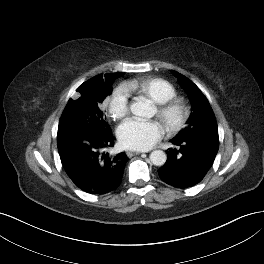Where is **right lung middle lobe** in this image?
I'll list each match as a JSON object with an SVG mask.
<instances>
[{
	"label": "right lung middle lobe",
	"instance_id": "obj_1",
	"mask_svg": "<svg viewBox=\"0 0 264 264\" xmlns=\"http://www.w3.org/2000/svg\"><path fill=\"white\" fill-rule=\"evenodd\" d=\"M122 75L116 73L108 79L98 77L83 83L77 89L78 99H70L61 116L57 138L67 137L70 133L89 127L99 128L103 132L111 131L101 105L104 98L111 94L113 81Z\"/></svg>",
	"mask_w": 264,
	"mask_h": 264
}]
</instances>
